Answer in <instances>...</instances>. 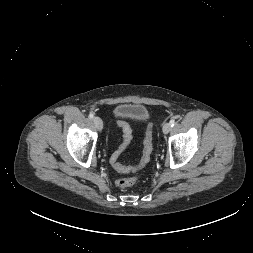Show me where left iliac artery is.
<instances>
[{
	"label": "left iliac artery",
	"mask_w": 253,
	"mask_h": 253,
	"mask_svg": "<svg viewBox=\"0 0 253 253\" xmlns=\"http://www.w3.org/2000/svg\"><path fill=\"white\" fill-rule=\"evenodd\" d=\"M174 124H175V120H174V119L170 120V125H171V127H173Z\"/></svg>",
	"instance_id": "left-iliac-artery-1"
}]
</instances>
